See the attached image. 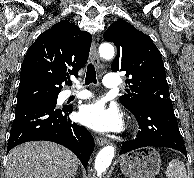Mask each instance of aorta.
Wrapping results in <instances>:
<instances>
[{"label": "aorta", "mask_w": 194, "mask_h": 178, "mask_svg": "<svg viewBox=\"0 0 194 178\" xmlns=\"http://www.w3.org/2000/svg\"><path fill=\"white\" fill-rule=\"evenodd\" d=\"M99 55L104 59H111L115 55L114 47L110 43H103L99 47ZM115 154V147L108 145L103 147L96 156L94 168L98 176H101L110 166Z\"/></svg>", "instance_id": "obj_1"}]
</instances>
